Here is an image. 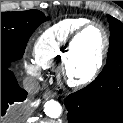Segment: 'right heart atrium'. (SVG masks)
Segmentation results:
<instances>
[{"mask_svg": "<svg viewBox=\"0 0 123 123\" xmlns=\"http://www.w3.org/2000/svg\"><path fill=\"white\" fill-rule=\"evenodd\" d=\"M23 66L32 76L38 77L41 74V67L32 59H24Z\"/></svg>", "mask_w": 123, "mask_h": 123, "instance_id": "right-heart-atrium-1", "label": "right heart atrium"}]
</instances>
